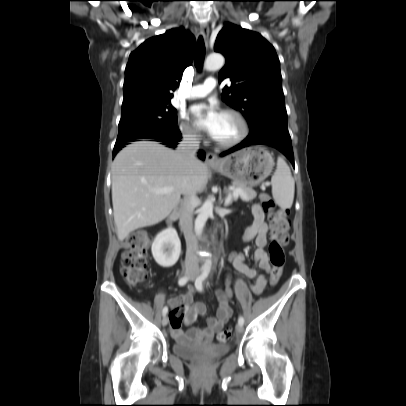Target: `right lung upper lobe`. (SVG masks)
<instances>
[{"label":"right lung upper lobe","instance_id":"1","mask_svg":"<svg viewBox=\"0 0 406 406\" xmlns=\"http://www.w3.org/2000/svg\"><path fill=\"white\" fill-rule=\"evenodd\" d=\"M195 39L178 28L152 37L130 54L125 69L122 107L141 102H170L184 69L191 65Z\"/></svg>","mask_w":406,"mask_h":406}]
</instances>
